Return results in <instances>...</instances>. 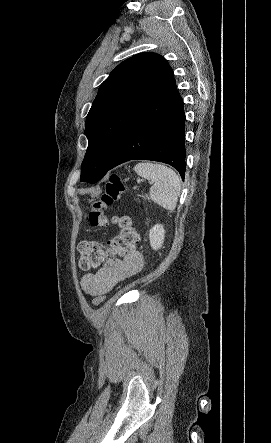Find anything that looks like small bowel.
<instances>
[{"instance_id":"1","label":"small bowel","mask_w":271,"mask_h":443,"mask_svg":"<svg viewBox=\"0 0 271 443\" xmlns=\"http://www.w3.org/2000/svg\"><path fill=\"white\" fill-rule=\"evenodd\" d=\"M142 267L141 253L135 249L131 250L121 257L108 259L97 272L85 274L81 278V288L93 296L106 294L122 281L137 274Z\"/></svg>"}]
</instances>
